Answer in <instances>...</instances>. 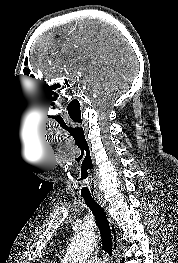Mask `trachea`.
<instances>
[{"instance_id":"3493384b","label":"trachea","mask_w":178,"mask_h":263,"mask_svg":"<svg viewBox=\"0 0 178 263\" xmlns=\"http://www.w3.org/2000/svg\"><path fill=\"white\" fill-rule=\"evenodd\" d=\"M89 172L90 167H81L80 175L78 178L80 194L81 197L84 199L85 204L94 214L96 223L100 231L103 250L108 253L109 256H112L113 240L109 221L104 210L95 202L94 198L92 197V186L89 181Z\"/></svg>"}]
</instances>
